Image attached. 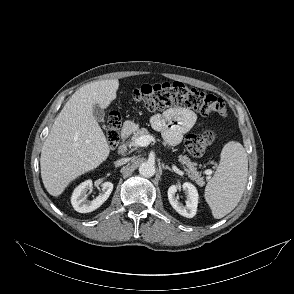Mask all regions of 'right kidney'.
I'll return each mask as SVG.
<instances>
[{
    "instance_id": "ca27d5eb",
    "label": "right kidney",
    "mask_w": 294,
    "mask_h": 294,
    "mask_svg": "<svg viewBox=\"0 0 294 294\" xmlns=\"http://www.w3.org/2000/svg\"><path fill=\"white\" fill-rule=\"evenodd\" d=\"M91 180L81 183L75 188L71 197L73 208L80 213H89L99 208L110 196L113 190V183L104 182L101 184L102 193L93 200H88V190L92 187Z\"/></svg>"
}]
</instances>
